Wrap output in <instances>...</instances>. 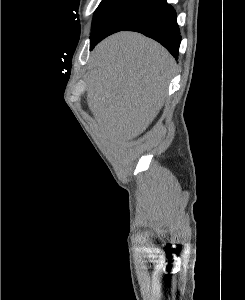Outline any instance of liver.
Returning a JSON list of instances; mask_svg holds the SVG:
<instances>
[{
  "label": "liver",
  "instance_id": "1",
  "mask_svg": "<svg viewBox=\"0 0 245 300\" xmlns=\"http://www.w3.org/2000/svg\"><path fill=\"white\" fill-rule=\"evenodd\" d=\"M87 103L111 138L143 133L162 108L176 62L160 44L139 33L113 34L94 49Z\"/></svg>",
  "mask_w": 245,
  "mask_h": 300
}]
</instances>
